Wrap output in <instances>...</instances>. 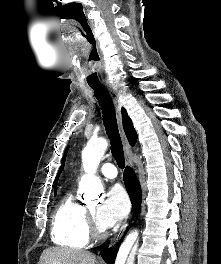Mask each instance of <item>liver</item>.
Returning <instances> with one entry per match:
<instances>
[{"instance_id": "1", "label": "liver", "mask_w": 221, "mask_h": 264, "mask_svg": "<svg viewBox=\"0 0 221 264\" xmlns=\"http://www.w3.org/2000/svg\"><path fill=\"white\" fill-rule=\"evenodd\" d=\"M95 256L84 250L53 247L43 251L38 264H95Z\"/></svg>"}]
</instances>
